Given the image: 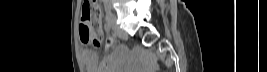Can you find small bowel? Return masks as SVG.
<instances>
[{
	"label": "small bowel",
	"instance_id": "small-bowel-1",
	"mask_svg": "<svg viewBox=\"0 0 267 72\" xmlns=\"http://www.w3.org/2000/svg\"><path fill=\"white\" fill-rule=\"evenodd\" d=\"M115 42L116 38L114 36H109L106 39L105 49L108 50L113 47ZM82 58L86 69L89 72H110V69H112V65L115 62V58L113 56H108L103 59L101 65L99 66L96 53L88 48L83 51Z\"/></svg>",
	"mask_w": 267,
	"mask_h": 72
}]
</instances>
